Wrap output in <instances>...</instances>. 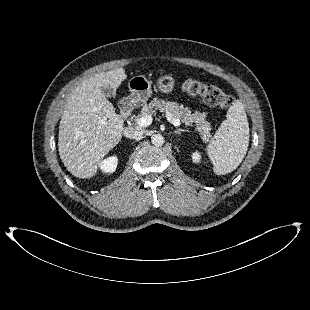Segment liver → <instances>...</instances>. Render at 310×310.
Wrapping results in <instances>:
<instances>
[{"mask_svg":"<svg viewBox=\"0 0 310 310\" xmlns=\"http://www.w3.org/2000/svg\"><path fill=\"white\" fill-rule=\"evenodd\" d=\"M126 77L123 68L101 72L85 79L71 92L60 121L58 150L73 176L93 177L102 159L121 140L124 120L101 88L116 91Z\"/></svg>","mask_w":310,"mask_h":310,"instance_id":"liver-1","label":"liver"}]
</instances>
